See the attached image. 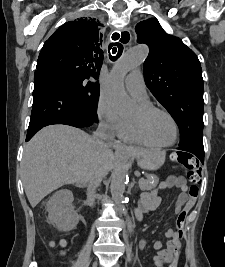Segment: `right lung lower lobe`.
Instances as JSON below:
<instances>
[{"label":"right lung lower lobe","instance_id":"obj_1","mask_svg":"<svg viewBox=\"0 0 225 267\" xmlns=\"http://www.w3.org/2000/svg\"><path fill=\"white\" fill-rule=\"evenodd\" d=\"M97 121L59 77L44 70L35 71L33 105L26 141L44 126L66 124L82 128Z\"/></svg>","mask_w":225,"mask_h":267}]
</instances>
